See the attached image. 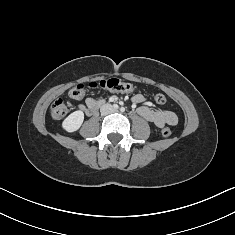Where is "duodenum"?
Returning a JSON list of instances; mask_svg holds the SVG:
<instances>
[{"mask_svg":"<svg viewBox=\"0 0 235 235\" xmlns=\"http://www.w3.org/2000/svg\"><path fill=\"white\" fill-rule=\"evenodd\" d=\"M101 104H102V103H98V104H96V105L91 106L90 108H88V109L86 110V113H87L88 115H93V114L96 112V110L101 106Z\"/></svg>","mask_w":235,"mask_h":235,"instance_id":"obj_1","label":"duodenum"}]
</instances>
